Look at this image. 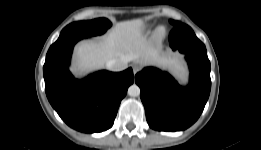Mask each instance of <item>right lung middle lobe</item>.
<instances>
[{"mask_svg": "<svg viewBox=\"0 0 261 150\" xmlns=\"http://www.w3.org/2000/svg\"><path fill=\"white\" fill-rule=\"evenodd\" d=\"M110 26L111 22L106 18L74 22L66 26L62 30L60 36L68 33H77L89 36L100 35L103 34Z\"/></svg>", "mask_w": 261, "mask_h": 150, "instance_id": "dd1d6c3e", "label": "right lung middle lobe"}]
</instances>
